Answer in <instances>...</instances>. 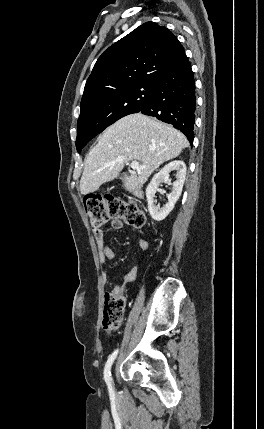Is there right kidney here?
I'll use <instances>...</instances> for the list:
<instances>
[{"label":"right kidney","mask_w":264,"mask_h":429,"mask_svg":"<svg viewBox=\"0 0 264 429\" xmlns=\"http://www.w3.org/2000/svg\"><path fill=\"white\" fill-rule=\"evenodd\" d=\"M176 171V181L172 183V190L167 195L168 203L163 207L156 205L154 199L157 192L158 186L161 183H170L169 173ZM186 177V165L181 160H175L165 165L157 174L154 175L150 184L146 188V197L148 202V210L151 217L155 221L164 220L168 214L173 210L175 203L178 201L181 193L183 184Z\"/></svg>","instance_id":"ca27d5eb"}]
</instances>
